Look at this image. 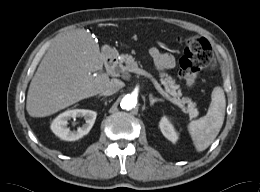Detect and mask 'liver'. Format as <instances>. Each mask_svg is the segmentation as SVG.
I'll return each mask as SVG.
<instances>
[{"instance_id":"liver-1","label":"liver","mask_w":260,"mask_h":192,"mask_svg":"<svg viewBox=\"0 0 260 192\" xmlns=\"http://www.w3.org/2000/svg\"><path fill=\"white\" fill-rule=\"evenodd\" d=\"M104 55L90 32H67L48 49L31 80L26 109L32 117L52 115L103 92L109 77L92 73L102 69Z\"/></svg>"}]
</instances>
